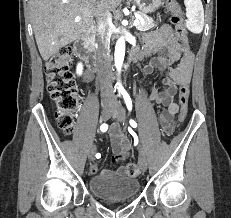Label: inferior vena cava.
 <instances>
[{
  "label": "inferior vena cava",
  "instance_id": "inferior-vena-cava-1",
  "mask_svg": "<svg viewBox=\"0 0 231 218\" xmlns=\"http://www.w3.org/2000/svg\"><path fill=\"white\" fill-rule=\"evenodd\" d=\"M97 71L101 93L104 98L113 97L112 71L110 56V37L112 15L110 11L100 9L97 15Z\"/></svg>",
  "mask_w": 231,
  "mask_h": 218
}]
</instances>
